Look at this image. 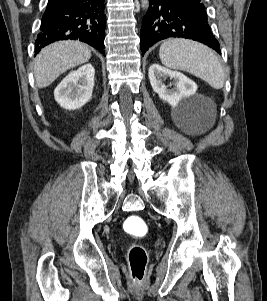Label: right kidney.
I'll return each mask as SVG.
<instances>
[{"label":"right kidney","instance_id":"ca27d5eb","mask_svg":"<svg viewBox=\"0 0 267 301\" xmlns=\"http://www.w3.org/2000/svg\"><path fill=\"white\" fill-rule=\"evenodd\" d=\"M95 69L86 64L69 73L54 91L57 103L66 110H76L92 97Z\"/></svg>","mask_w":267,"mask_h":301}]
</instances>
